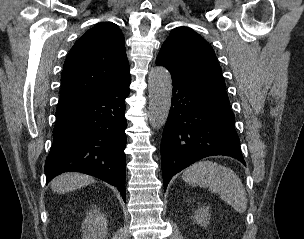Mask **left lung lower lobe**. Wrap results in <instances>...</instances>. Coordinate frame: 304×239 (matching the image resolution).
<instances>
[{
	"instance_id": "left-lung-lower-lobe-1",
	"label": "left lung lower lobe",
	"mask_w": 304,
	"mask_h": 239,
	"mask_svg": "<svg viewBox=\"0 0 304 239\" xmlns=\"http://www.w3.org/2000/svg\"><path fill=\"white\" fill-rule=\"evenodd\" d=\"M172 84V106L161 141L164 190L176 173L207 156L226 155L246 165L229 101L176 78Z\"/></svg>"
}]
</instances>
